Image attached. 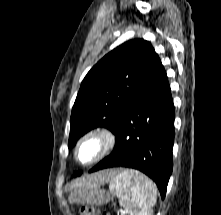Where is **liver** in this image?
<instances>
[{"mask_svg": "<svg viewBox=\"0 0 221 215\" xmlns=\"http://www.w3.org/2000/svg\"><path fill=\"white\" fill-rule=\"evenodd\" d=\"M117 173L115 170H104L89 176H86L82 179L72 182L69 188L77 190L81 188H90L94 186H100L109 182Z\"/></svg>", "mask_w": 221, "mask_h": 215, "instance_id": "liver-1", "label": "liver"}]
</instances>
